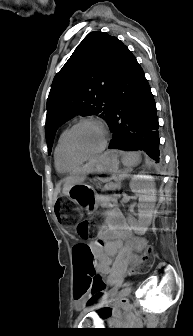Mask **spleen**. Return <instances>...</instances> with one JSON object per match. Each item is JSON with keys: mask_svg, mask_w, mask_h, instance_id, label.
<instances>
[{"mask_svg": "<svg viewBox=\"0 0 193 336\" xmlns=\"http://www.w3.org/2000/svg\"><path fill=\"white\" fill-rule=\"evenodd\" d=\"M139 162V157L135 153H127L123 158V163L126 166H134Z\"/></svg>", "mask_w": 193, "mask_h": 336, "instance_id": "3e777b00", "label": "spleen"}]
</instances>
